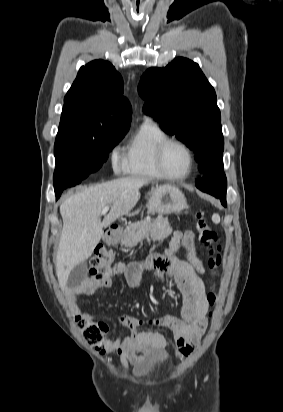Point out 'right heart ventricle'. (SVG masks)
Instances as JSON below:
<instances>
[{
    "mask_svg": "<svg viewBox=\"0 0 283 412\" xmlns=\"http://www.w3.org/2000/svg\"><path fill=\"white\" fill-rule=\"evenodd\" d=\"M167 138L158 124L145 120L127 144L121 169L129 175L160 177L155 156L158 146Z\"/></svg>",
    "mask_w": 283,
    "mask_h": 412,
    "instance_id": "right-heart-ventricle-1",
    "label": "right heart ventricle"
}]
</instances>
